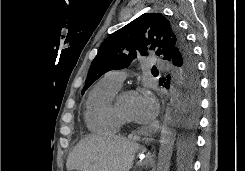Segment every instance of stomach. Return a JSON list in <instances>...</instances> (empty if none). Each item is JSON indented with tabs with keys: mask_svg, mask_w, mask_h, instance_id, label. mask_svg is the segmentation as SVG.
Returning <instances> with one entry per match:
<instances>
[{
	"mask_svg": "<svg viewBox=\"0 0 245 171\" xmlns=\"http://www.w3.org/2000/svg\"><path fill=\"white\" fill-rule=\"evenodd\" d=\"M139 163L141 165H147L148 164V160L147 159H140Z\"/></svg>",
	"mask_w": 245,
	"mask_h": 171,
	"instance_id": "0dacf381",
	"label": "stomach"
}]
</instances>
